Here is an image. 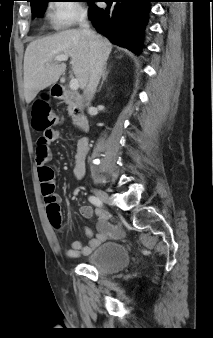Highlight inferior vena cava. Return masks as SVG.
<instances>
[{
	"label": "inferior vena cava",
	"mask_w": 213,
	"mask_h": 338,
	"mask_svg": "<svg viewBox=\"0 0 213 338\" xmlns=\"http://www.w3.org/2000/svg\"><path fill=\"white\" fill-rule=\"evenodd\" d=\"M80 27L82 33L88 38L90 47L89 81L84 89V98L89 103L94 96L108 56L103 52L97 35L90 30L86 14H83L80 20Z\"/></svg>",
	"instance_id": "obj_1"
}]
</instances>
